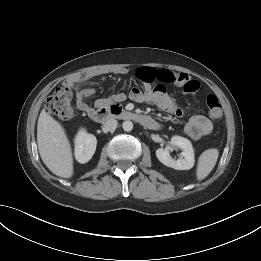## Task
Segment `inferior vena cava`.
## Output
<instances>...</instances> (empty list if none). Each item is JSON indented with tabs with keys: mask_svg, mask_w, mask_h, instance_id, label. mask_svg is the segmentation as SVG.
I'll return each mask as SVG.
<instances>
[{
	"mask_svg": "<svg viewBox=\"0 0 261 261\" xmlns=\"http://www.w3.org/2000/svg\"><path fill=\"white\" fill-rule=\"evenodd\" d=\"M118 125L117 120H115L114 118H109L105 123H104V127L108 130V131H115L116 127Z\"/></svg>",
	"mask_w": 261,
	"mask_h": 261,
	"instance_id": "obj_1",
	"label": "inferior vena cava"
}]
</instances>
